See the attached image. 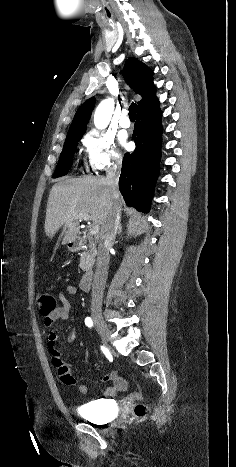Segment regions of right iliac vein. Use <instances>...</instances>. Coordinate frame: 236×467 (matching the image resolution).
<instances>
[{
  "mask_svg": "<svg viewBox=\"0 0 236 467\" xmlns=\"http://www.w3.org/2000/svg\"><path fill=\"white\" fill-rule=\"evenodd\" d=\"M92 317H93L96 330L101 335L103 341L108 342L110 338V330L106 322L103 320L102 315L99 312H94Z\"/></svg>",
  "mask_w": 236,
  "mask_h": 467,
  "instance_id": "1",
  "label": "right iliac vein"
}]
</instances>
